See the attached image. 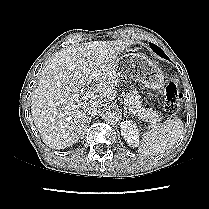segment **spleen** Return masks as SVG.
I'll list each match as a JSON object with an SVG mask.
<instances>
[{
	"instance_id": "spleen-1",
	"label": "spleen",
	"mask_w": 209,
	"mask_h": 209,
	"mask_svg": "<svg viewBox=\"0 0 209 209\" xmlns=\"http://www.w3.org/2000/svg\"><path fill=\"white\" fill-rule=\"evenodd\" d=\"M183 134L180 119H168L164 123L152 127L142 135L138 152L145 156L162 154L172 148Z\"/></svg>"
}]
</instances>
